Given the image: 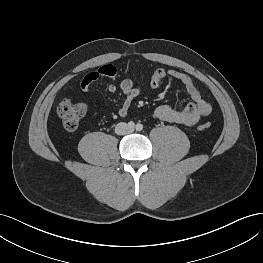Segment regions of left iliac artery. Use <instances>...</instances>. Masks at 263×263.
<instances>
[{"mask_svg":"<svg viewBox=\"0 0 263 263\" xmlns=\"http://www.w3.org/2000/svg\"><path fill=\"white\" fill-rule=\"evenodd\" d=\"M142 129H143V125L142 124L139 123V124L136 125V130L137 131H141Z\"/></svg>","mask_w":263,"mask_h":263,"instance_id":"left-iliac-artery-1","label":"left iliac artery"}]
</instances>
